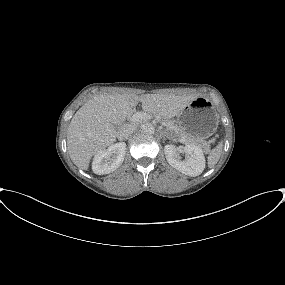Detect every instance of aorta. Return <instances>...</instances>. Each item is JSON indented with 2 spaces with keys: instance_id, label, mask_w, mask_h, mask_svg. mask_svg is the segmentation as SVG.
<instances>
[{
  "instance_id": "aorta-1",
  "label": "aorta",
  "mask_w": 285,
  "mask_h": 285,
  "mask_svg": "<svg viewBox=\"0 0 285 285\" xmlns=\"http://www.w3.org/2000/svg\"><path fill=\"white\" fill-rule=\"evenodd\" d=\"M142 132L146 135H152L155 132V128L152 124H145L142 126Z\"/></svg>"
}]
</instances>
